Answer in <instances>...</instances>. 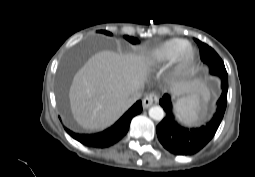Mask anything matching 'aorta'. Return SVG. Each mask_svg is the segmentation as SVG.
<instances>
[{"instance_id":"762f6f07","label":"aorta","mask_w":255,"mask_h":177,"mask_svg":"<svg viewBox=\"0 0 255 177\" xmlns=\"http://www.w3.org/2000/svg\"><path fill=\"white\" fill-rule=\"evenodd\" d=\"M149 116L156 121H161L164 117V110L160 106H153L149 109Z\"/></svg>"}]
</instances>
